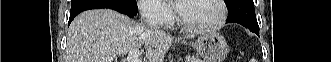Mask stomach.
<instances>
[{"instance_id":"stomach-1","label":"stomach","mask_w":331,"mask_h":62,"mask_svg":"<svg viewBox=\"0 0 331 62\" xmlns=\"http://www.w3.org/2000/svg\"><path fill=\"white\" fill-rule=\"evenodd\" d=\"M191 45L197 50L204 62H223L229 52L225 38L216 32L200 36Z\"/></svg>"}]
</instances>
